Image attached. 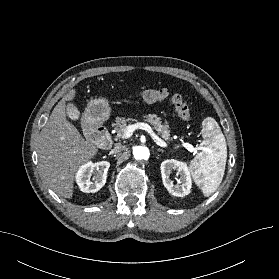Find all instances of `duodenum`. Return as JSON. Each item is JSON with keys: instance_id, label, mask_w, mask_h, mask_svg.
<instances>
[{"instance_id": "obj_1", "label": "duodenum", "mask_w": 279, "mask_h": 279, "mask_svg": "<svg viewBox=\"0 0 279 279\" xmlns=\"http://www.w3.org/2000/svg\"><path fill=\"white\" fill-rule=\"evenodd\" d=\"M87 136L94 140L102 149H109L112 146V138L103 125H88L86 129Z\"/></svg>"}]
</instances>
